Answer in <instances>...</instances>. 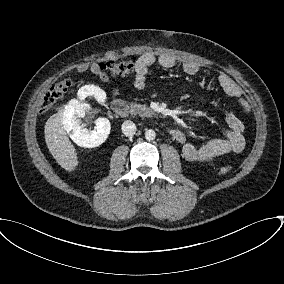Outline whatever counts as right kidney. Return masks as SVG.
<instances>
[{
    "instance_id": "1",
    "label": "right kidney",
    "mask_w": 284,
    "mask_h": 284,
    "mask_svg": "<svg viewBox=\"0 0 284 284\" xmlns=\"http://www.w3.org/2000/svg\"><path fill=\"white\" fill-rule=\"evenodd\" d=\"M78 100H72L63 112V124L71 139L81 147L93 148L101 145L111 129L107 118L95 120V128L89 130L81 124L80 118L86 114L87 104L81 103L87 96H94L98 102H104L106 93L95 85H85L78 90Z\"/></svg>"
}]
</instances>
